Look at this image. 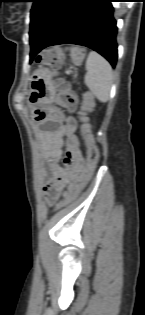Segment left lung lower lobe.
I'll list each match as a JSON object with an SVG mask.
<instances>
[{
    "label": "left lung lower lobe",
    "instance_id": "1",
    "mask_svg": "<svg viewBox=\"0 0 145 315\" xmlns=\"http://www.w3.org/2000/svg\"><path fill=\"white\" fill-rule=\"evenodd\" d=\"M111 2L113 0H73L41 41L30 39V61L48 46L69 43L97 51L115 67L117 26Z\"/></svg>",
    "mask_w": 145,
    "mask_h": 315
}]
</instances>
